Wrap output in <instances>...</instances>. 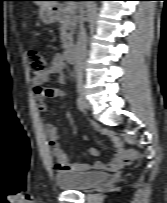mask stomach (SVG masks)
Here are the masks:
<instances>
[{
	"label": "stomach",
	"instance_id": "stomach-1",
	"mask_svg": "<svg viewBox=\"0 0 167 203\" xmlns=\"http://www.w3.org/2000/svg\"><path fill=\"white\" fill-rule=\"evenodd\" d=\"M39 16L45 24H51L57 20V13L52 9H41Z\"/></svg>",
	"mask_w": 167,
	"mask_h": 203
}]
</instances>
